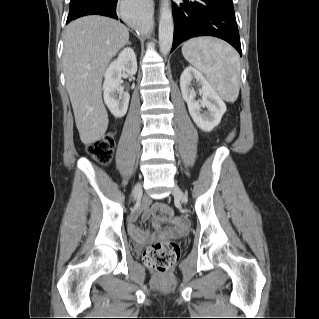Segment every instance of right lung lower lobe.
Wrapping results in <instances>:
<instances>
[{
	"instance_id": "obj_1",
	"label": "right lung lower lobe",
	"mask_w": 319,
	"mask_h": 319,
	"mask_svg": "<svg viewBox=\"0 0 319 319\" xmlns=\"http://www.w3.org/2000/svg\"><path fill=\"white\" fill-rule=\"evenodd\" d=\"M117 2L118 0H82L69 10L67 23L86 15H103L118 19L116 13Z\"/></svg>"
}]
</instances>
